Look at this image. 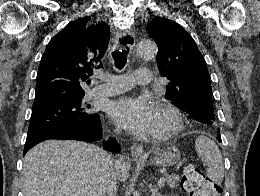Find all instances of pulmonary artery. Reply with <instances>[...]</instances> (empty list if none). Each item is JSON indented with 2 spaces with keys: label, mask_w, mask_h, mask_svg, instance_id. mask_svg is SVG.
<instances>
[{
  "label": "pulmonary artery",
  "mask_w": 260,
  "mask_h": 196,
  "mask_svg": "<svg viewBox=\"0 0 260 196\" xmlns=\"http://www.w3.org/2000/svg\"><path fill=\"white\" fill-rule=\"evenodd\" d=\"M153 76L152 69H136L135 72H128V76H114V79L109 81V85L91 89L88 92V98L107 97L126 90H133V85H123L130 84L132 77H138L137 84H151Z\"/></svg>",
  "instance_id": "pulmonary-artery-1"
}]
</instances>
